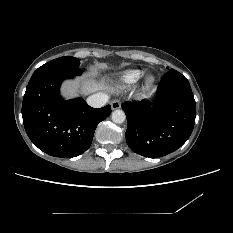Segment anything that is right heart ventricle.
I'll use <instances>...</instances> for the list:
<instances>
[{
  "label": "right heart ventricle",
  "mask_w": 233,
  "mask_h": 233,
  "mask_svg": "<svg viewBox=\"0 0 233 233\" xmlns=\"http://www.w3.org/2000/svg\"><path fill=\"white\" fill-rule=\"evenodd\" d=\"M143 76L141 70H126L119 75V82L123 86L131 85L136 83Z\"/></svg>",
  "instance_id": "e07e8e85"
}]
</instances>
